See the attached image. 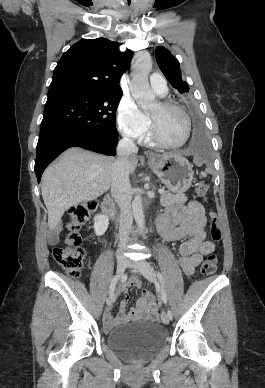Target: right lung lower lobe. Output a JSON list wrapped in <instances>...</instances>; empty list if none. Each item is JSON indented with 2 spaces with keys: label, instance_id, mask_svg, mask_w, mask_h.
Listing matches in <instances>:
<instances>
[{
  "label": "right lung lower lobe",
  "instance_id": "obj_1",
  "mask_svg": "<svg viewBox=\"0 0 265 388\" xmlns=\"http://www.w3.org/2000/svg\"><path fill=\"white\" fill-rule=\"evenodd\" d=\"M118 137H106L81 128H58L40 134L37 143L35 173L40 182L41 175L49 163L70 147H82L105 155H115Z\"/></svg>",
  "mask_w": 265,
  "mask_h": 388
}]
</instances>
